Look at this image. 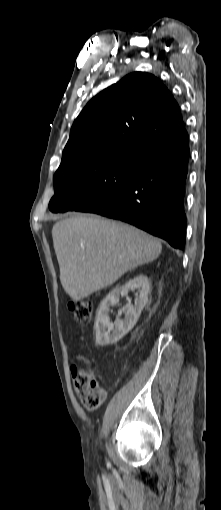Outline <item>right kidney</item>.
I'll return each instance as SVG.
<instances>
[{
    "mask_svg": "<svg viewBox=\"0 0 221 510\" xmlns=\"http://www.w3.org/2000/svg\"><path fill=\"white\" fill-rule=\"evenodd\" d=\"M137 290L139 293L138 300L134 305L126 304L122 308L125 314L123 320L117 318L113 323L109 319V307L118 304L119 297L125 296L129 291ZM150 293V281L145 275H138L128 281L123 286L115 287L101 302L95 319V344L98 346H106L114 344L126 335L137 323L138 318L148 300Z\"/></svg>",
    "mask_w": 221,
    "mask_h": 510,
    "instance_id": "right-kidney-1",
    "label": "right kidney"
}]
</instances>
